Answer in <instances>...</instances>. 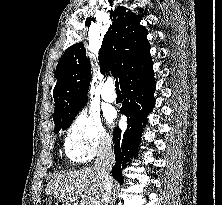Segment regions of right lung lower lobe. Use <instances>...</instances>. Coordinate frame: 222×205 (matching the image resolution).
Masks as SVG:
<instances>
[{
	"label": "right lung lower lobe",
	"mask_w": 222,
	"mask_h": 205,
	"mask_svg": "<svg viewBox=\"0 0 222 205\" xmlns=\"http://www.w3.org/2000/svg\"><path fill=\"white\" fill-rule=\"evenodd\" d=\"M124 102L121 113L127 116L128 127L113 133L115 165L112 176L123 184L122 170L133 156L137 155L140 137L147 123V115L155 106L153 96L156 89L153 65L121 85Z\"/></svg>",
	"instance_id": "right-lung-lower-lobe-1"
}]
</instances>
